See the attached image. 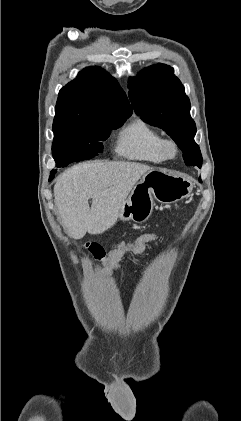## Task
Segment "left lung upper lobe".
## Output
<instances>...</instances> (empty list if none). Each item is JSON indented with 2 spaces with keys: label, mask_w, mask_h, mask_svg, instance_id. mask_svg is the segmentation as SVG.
<instances>
[{
  "label": "left lung upper lobe",
  "mask_w": 241,
  "mask_h": 421,
  "mask_svg": "<svg viewBox=\"0 0 241 421\" xmlns=\"http://www.w3.org/2000/svg\"><path fill=\"white\" fill-rule=\"evenodd\" d=\"M170 66L158 63L129 79V98L135 112L165 130L183 151L186 164L201 168L202 155L194 141L196 125L190 116V101Z\"/></svg>",
  "instance_id": "1"
}]
</instances>
